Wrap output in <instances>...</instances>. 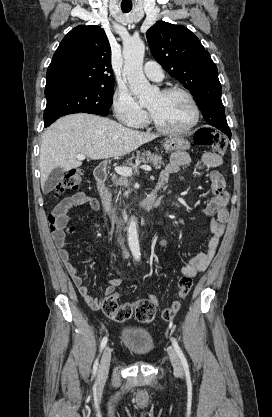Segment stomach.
I'll use <instances>...</instances> for the list:
<instances>
[{"mask_svg":"<svg viewBox=\"0 0 272 417\" xmlns=\"http://www.w3.org/2000/svg\"><path fill=\"white\" fill-rule=\"evenodd\" d=\"M163 147L166 152L178 151V150H186L190 147L188 141L180 137H172L167 139Z\"/></svg>","mask_w":272,"mask_h":417,"instance_id":"stomach-1","label":"stomach"}]
</instances>
